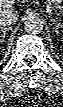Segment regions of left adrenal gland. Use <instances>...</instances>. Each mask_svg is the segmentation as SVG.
Wrapping results in <instances>:
<instances>
[{"instance_id": "left-adrenal-gland-1", "label": "left adrenal gland", "mask_w": 63, "mask_h": 107, "mask_svg": "<svg viewBox=\"0 0 63 107\" xmlns=\"http://www.w3.org/2000/svg\"><path fill=\"white\" fill-rule=\"evenodd\" d=\"M50 20L55 24V32L58 34V29L62 27V25L58 22V20L52 18L50 16Z\"/></svg>"}]
</instances>
